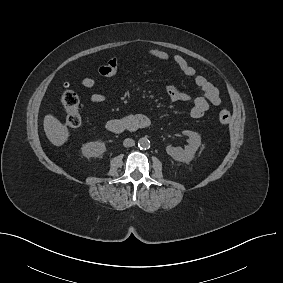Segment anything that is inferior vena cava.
<instances>
[{
    "label": "inferior vena cava",
    "mask_w": 283,
    "mask_h": 283,
    "mask_svg": "<svg viewBox=\"0 0 283 283\" xmlns=\"http://www.w3.org/2000/svg\"><path fill=\"white\" fill-rule=\"evenodd\" d=\"M123 145L124 147H132L135 145V141L131 138H126L124 141H123Z\"/></svg>",
    "instance_id": "602c4592"
}]
</instances>
